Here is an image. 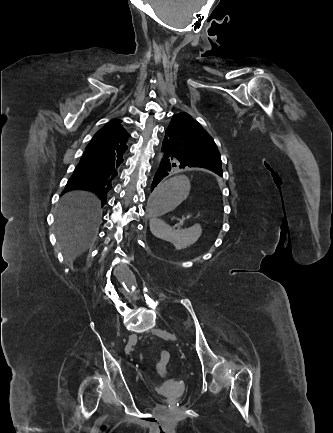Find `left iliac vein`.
<instances>
[{
  "label": "left iliac vein",
  "instance_id": "left-iliac-vein-1",
  "mask_svg": "<svg viewBox=\"0 0 333 433\" xmlns=\"http://www.w3.org/2000/svg\"><path fill=\"white\" fill-rule=\"evenodd\" d=\"M152 333L156 334L157 336L162 337L164 339H170L172 341H176L177 340V337L174 334H171L168 331L162 330V329H159V328L153 329Z\"/></svg>",
  "mask_w": 333,
  "mask_h": 433
}]
</instances>
